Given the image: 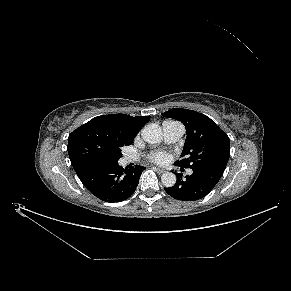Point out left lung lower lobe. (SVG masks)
Segmentation results:
<instances>
[{"instance_id": "1", "label": "left lung lower lobe", "mask_w": 291, "mask_h": 291, "mask_svg": "<svg viewBox=\"0 0 291 291\" xmlns=\"http://www.w3.org/2000/svg\"><path fill=\"white\" fill-rule=\"evenodd\" d=\"M192 170V175H187L185 179L182 178V174H176V184L164 188L166 193L181 201H195L204 198L216 186L225 168L199 166Z\"/></svg>"}]
</instances>
